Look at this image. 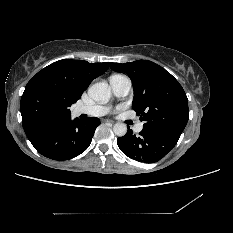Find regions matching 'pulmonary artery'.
<instances>
[{
    "mask_svg": "<svg viewBox=\"0 0 233 233\" xmlns=\"http://www.w3.org/2000/svg\"><path fill=\"white\" fill-rule=\"evenodd\" d=\"M110 85L113 93L118 97L126 96L131 90V80L124 75H113L110 77ZM109 109L106 106L100 104L93 105H81L74 108L73 113L76 116L88 115V116H102L107 114ZM142 124L135 126V131L140 132L142 130Z\"/></svg>",
    "mask_w": 233,
    "mask_h": 233,
    "instance_id": "e3ab8cb5",
    "label": "pulmonary artery"
}]
</instances>
